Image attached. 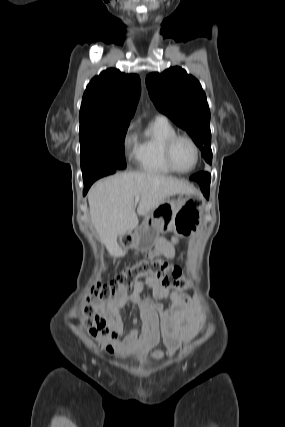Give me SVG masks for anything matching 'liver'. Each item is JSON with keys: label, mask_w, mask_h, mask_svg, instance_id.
Masks as SVG:
<instances>
[{"label": "liver", "mask_w": 285, "mask_h": 427, "mask_svg": "<svg viewBox=\"0 0 285 427\" xmlns=\"http://www.w3.org/2000/svg\"><path fill=\"white\" fill-rule=\"evenodd\" d=\"M192 186L152 172H126L98 181L88 193L90 216L100 241L112 256L119 255L117 237L133 230L138 217L146 216L167 198L194 194ZM140 197L137 213L134 198Z\"/></svg>", "instance_id": "1"}]
</instances>
